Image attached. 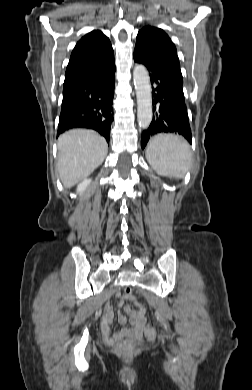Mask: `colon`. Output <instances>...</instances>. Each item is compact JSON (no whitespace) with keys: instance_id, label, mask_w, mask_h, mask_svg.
<instances>
[{"instance_id":"obj_1","label":"colon","mask_w":252,"mask_h":390,"mask_svg":"<svg viewBox=\"0 0 252 390\" xmlns=\"http://www.w3.org/2000/svg\"><path fill=\"white\" fill-rule=\"evenodd\" d=\"M124 296L127 298L131 297V290L129 288H126L124 290ZM152 331H153V325H149L147 328V332L150 333ZM140 341L141 340L139 337H136L131 340H125L116 346V350L121 354H125V355L132 354L138 349L140 345Z\"/></svg>"}]
</instances>
